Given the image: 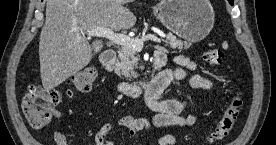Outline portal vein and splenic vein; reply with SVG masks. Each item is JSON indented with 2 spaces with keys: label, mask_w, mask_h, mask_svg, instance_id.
<instances>
[{
  "label": "portal vein and splenic vein",
  "mask_w": 276,
  "mask_h": 145,
  "mask_svg": "<svg viewBox=\"0 0 276 145\" xmlns=\"http://www.w3.org/2000/svg\"><path fill=\"white\" fill-rule=\"evenodd\" d=\"M87 36L92 37H103L108 39L110 42L115 43L117 45L126 46L132 48L136 51H140L143 48V44L147 40L154 41L156 43H160V38L155 35L148 34L141 38H132L124 34L115 33L110 28L97 27L91 30L86 31Z\"/></svg>",
  "instance_id": "1"
}]
</instances>
